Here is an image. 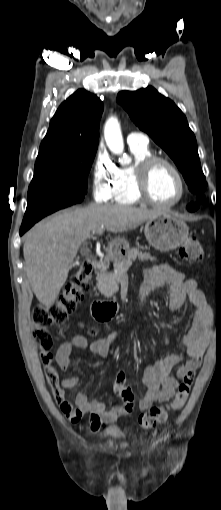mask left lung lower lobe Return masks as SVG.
I'll return each mask as SVG.
<instances>
[{
  "mask_svg": "<svg viewBox=\"0 0 221 510\" xmlns=\"http://www.w3.org/2000/svg\"><path fill=\"white\" fill-rule=\"evenodd\" d=\"M197 208H198V205L197 204H193V203L188 206V210L189 211H194Z\"/></svg>",
  "mask_w": 221,
  "mask_h": 510,
  "instance_id": "1",
  "label": "left lung lower lobe"
}]
</instances>
